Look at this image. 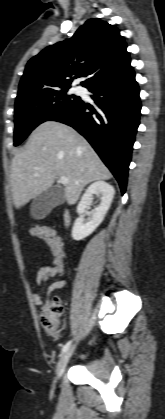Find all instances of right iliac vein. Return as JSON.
<instances>
[{"label": "right iliac vein", "instance_id": "right-iliac-vein-1", "mask_svg": "<svg viewBox=\"0 0 165 419\" xmlns=\"http://www.w3.org/2000/svg\"><path fill=\"white\" fill-rule=\"evenodd\" d=\"M74 347L68 349L60 358L58 364H57V369H56V375H57V379H60L65 368L66 365L73 353Z\"/></svg>", "mask_w": 165, "mask_h": 419}]
</instances>
